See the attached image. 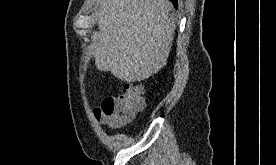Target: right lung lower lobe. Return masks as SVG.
Wrapping results in <instances>:
<instances>
[{"label": "right lung lower lobe", "instance_id": "right-lung-lower-lobe-1", "mask_svg": "<svg viewBox=\"0 0 276 165\" xmlns=\"http://www.w3.org/2000/svg\"><path fill=\"white\" fill-rule=\"evenodd\" d=\"M174 4L175 7H177V0H170Z\"/></svg>", "mask_w": 276, "mask_h": 165}]
</instances>
